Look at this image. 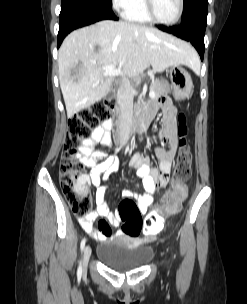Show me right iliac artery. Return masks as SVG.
Here are the masks:
<instances>
[{
  "mask_svg": "<svg viewBox=\"0 0 247 304\" xmlns=\"http://www.w3.org/2000/svg\"><path fill=\"white\" fill-rule=\"evenodd\" d=\"M85 243H86V238H83L82 241H81V244H80V247H81V250H82V251H83V249H84ZM77 274H78L79 276H81V274H82V263H81V261H80V264H79V267H78V272H77Z\"/></svg>",
  "mask_w": 247,
  "mask_h": 304,
  "instance_id": "right-iliac-artery-1",
  "label": "right iliac artery"
}]
</instances>
